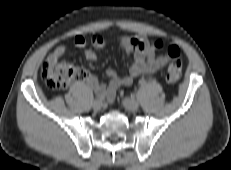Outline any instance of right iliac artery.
I'll list each match as a JSON object with an SVG mask.
<instances>
[{
	"label": "right iliac artery",
	"mask_w": 231,
	"mask_h": 170,
	"mask_svg": "<svg viewBox=\"0 0 231 170\" xmlns=\"http://www.w3.org/2000/svg\"><path fill=\"white\" fill-rule=\"evenodd\" d=\"M97 98L103 100L105 98V96L103 94H98Z\"/></svg>",
	"instance_id": "obj_1"
}]
</instances>
